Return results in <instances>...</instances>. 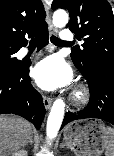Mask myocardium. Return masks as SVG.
Returning <instances> with one entry per match:
<instances>
[{
  "label": "myocardium",
  "mask_w": 114,
  "mask_h": 156,
  "mask_svg": "<svg viewBox=\"0 0 114 156\" xmlns=\"http://www.w3.org/2000/svg\"><path fill=\"white\" fill-rule=\"evenodd\" d=\"M87 100H88V92L84 87L78 88L72 96L73 103L78 106L85 104Z\"/></svg>",
  "instance_id": "f54148a6"
}]
</instances>
